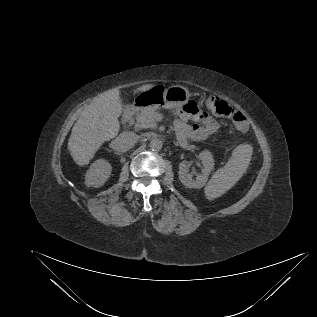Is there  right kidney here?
I'll list each match as a JSON object with an SVG mask.
<instances>
[{"instance_id":"right-kidney-1","label":"right kidney","mask_w":317,"mask_h":317,"mask_svg":"<svg viewBox=\"0 0 317 317\" xmlns=\"http://www.w3.org/2000/svg\"><path fill=\"white\" fill-rule=\"evenodd\" d=\"M112 167L104 159L96 160L89 168L85 176L87 186L101 187L109 178Z\"/></svg>"}]
</instances>
